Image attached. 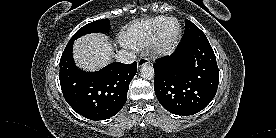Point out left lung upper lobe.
<instances>
[{
    "label": "left lung upper lobe",
    "mask_w": 276,
    "mask_h": 138,
    "mask_svg": "<svg viewBox=\"0 0 276 138\" xmlns=\"http://www.w3.org/2000/svg\"><path fill=\"white\" fill-rule=\"evenodd\" d=\"M185 21H186L185 33L181 39L182 40L181 44L200 40V39H207L205 34L196 25H194L191 21L187 19Z\"/></svg>",
    "instance_id": "obj_1"
}]
</instances>
